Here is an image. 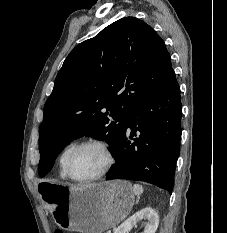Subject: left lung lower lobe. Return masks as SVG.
Masks as SVG:
<instances>
[{
	"mask_svg": "<svg viewBox=\"0 0 227 233\" xmlns=\"http://www.w3.org/2000/svg\"><path fill=\"white\" fill-rule=\"evenodd\" d=\"M182 104L174 70L131 109L106 180L145 181L173 189L180 153Z\"/></svg>",
	"mask_w": 227,
	"mask_h": 233,
	"instance_id": "1",
	"label": "left lung lower lobe"
}]
</instances>
